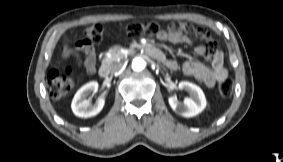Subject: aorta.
Listing matches in <instances>:
<instances>
[{
  "instance_id": "aorta-1",
  "label": "aorta",
  "mask_w": 283,
  "mask_h": 162,
  "mask_svg": "<svg viewBox=\"0 0 283 162\" xmlns=\"http://www.w3.org/2000/svg\"><path fill=\"white\" fill-rule=\"evenodd\" d=\"M144 67H145V61L142 58L136 57V58L133 59L132 69L134 71H141V70L144 69Z\"/></svg>"
}]
</instances>
